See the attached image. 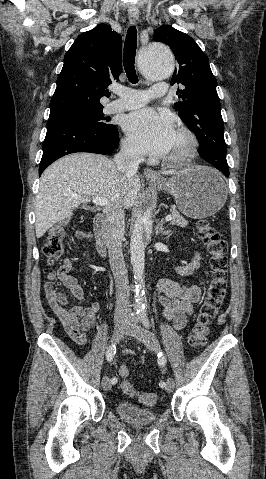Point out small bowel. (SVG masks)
Wrapping results in <instances>:
<instances>
[{
    "mask_svg": "<svg viewBox=\"0 0 266 479\" xmlns=\"http://www.w3.org/2000/svg\"><path fill=\"white\" fill-rule=\"evenodd\" d=\"M201 255L195 253L191 263L177 266L175 271L182 276L193 274L200 267ZM62 284L70 292L59 291L56 285H45V295L52 312L57 316L69 336L76 343L87 342L88 331L94 326L99 311L97 302L85 298L83 288L78 281L67 272L60 276ZM159 302L164 316L173 323L177 330L183 329L193 314V305L200 299V289L195 285H182L171 278H164L158 283ZM84 303L66 307L70 297Z\"/></svg>",
    "mask_w": 266,
    "mask_h": 479,
    "instance_id": "1",
    "label": "small bowel"
}]
</instances>
